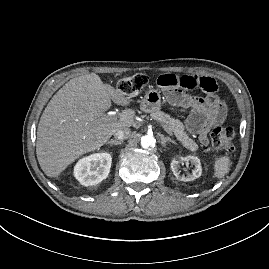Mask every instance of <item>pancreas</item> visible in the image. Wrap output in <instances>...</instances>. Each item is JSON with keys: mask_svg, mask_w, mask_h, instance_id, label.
I'll return each mask as SVG.
<instances>
[{"mask_svg": "<svg viewBox=\"0 0 269 269\" xmlns=\"http://www.w3.org/2000/svg\"><path fill=\"white\" fill-rule=\"evenodd\" d=\"M151 116L153 119L164 125L167 132L174 135L185 148L193 152L198 150L199 146L188 136V134L185 132L183 123L178 119H174L170 115L159 110L152 112Z\"/></svg>", "mask_w": 269, "mask_h": 269, "instance_id": "cf45deb5", "label": "pancreas"}]
</instances>
